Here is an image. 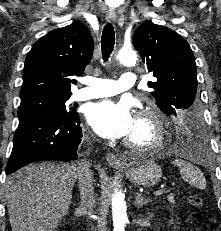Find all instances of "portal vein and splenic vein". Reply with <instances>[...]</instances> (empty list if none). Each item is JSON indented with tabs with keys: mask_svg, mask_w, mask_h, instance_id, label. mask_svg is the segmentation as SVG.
<instances>
[{
	"mask_svg": "<svg viewBox=\"0 0 221 231\" xmlns=\"http://www.w3.org/2000/svg\"><path fill=\"white\" fill-rule=\"evenodd\" d=\"M164 192H165V190L161 189V190H158V191L154 192L153 195H154V197H158V196L162 195Z\"/></svg>",
	"mask_w": 221,
	"mask_h": 231,
	"instance_id": "obj_1",
	"label": "portal vein and splenic vein"
}]
</instances>
